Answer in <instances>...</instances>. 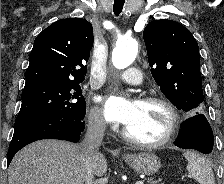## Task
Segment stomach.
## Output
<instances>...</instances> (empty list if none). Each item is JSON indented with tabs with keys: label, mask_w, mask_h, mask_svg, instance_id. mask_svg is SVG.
I'll return each instance as SVG.
<instances>
[{
	"label": "stomach",
	"mask_w": 224,
	"mask_h": 184,
	"mask_svg": "<svg viewBox=\"0 0 224 184\" xmlns=\"http://www.w3.org/2000/svg\"><path fill=\"white\" fill-rule=\"evenodd\" d=\"M124 160L137 173L144 175H154L160 168V161L153 153L142 152L124 156Z\"/></svg>",
	"instance_id": "1"
}]
</instances>
